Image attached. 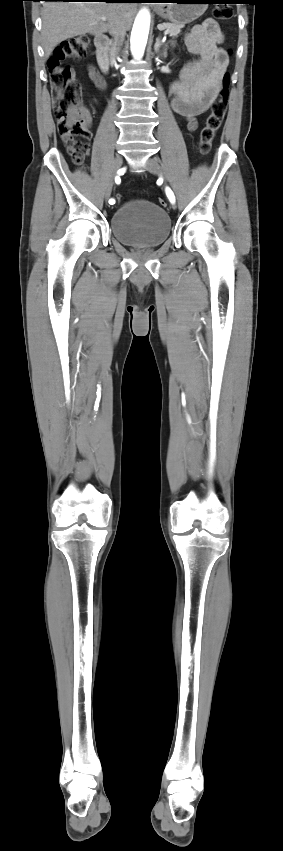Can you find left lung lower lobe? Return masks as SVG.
<instances>
[{
    "instance_id": "obj_1",
    "label": "left lung lower lobe",
    "mask_w": 283,
    "mask_h": 851,
    "mask_svg": "<svg viewBox=\"0 0 283 851\" xmlns=\"http://www.w3.org/2000/svg\"><path fill=\"white\" fill-rule=\"evenodd\" d=\"M208 3H229V4H232V3H238V0H213V1H209Z\"/></svg>"
}]
</instances>
